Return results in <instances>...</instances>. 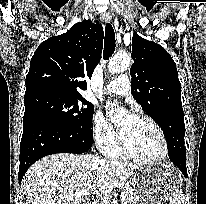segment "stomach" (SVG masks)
Segmentation results:
<instances>
[{
    "mask_svg": "<svg viewBox=\"0 0 206 204\" xmlns=\"http://www.w3.org/2000/svg\"><path fill=\"white\" fill-rule=\"evenodd\" d=\"M128 183L136 204H165L181 186V174L169 163L143 165L136 169Z\"/></svg>",
    "mask_w": 206,
    "mask_h": 204,
    "instance_id": "0dacf381",
    "label": "stomach"
}]
</instances>
